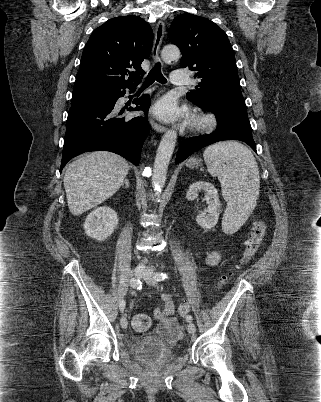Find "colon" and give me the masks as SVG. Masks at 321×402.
<instances>
[{"mask_svg":"<svg viewBox=\"0 0 321 402\" xmlns=\"http://www.w3.org/2000/svg\"><path fill=\"white\" fill-rule=\"evenodd\" d=\"M266 233V226L263 222H258L253 229V232L246 243V248L243 252L239 266L248 264L257 255L262 241ZM228 280L227 277L222 279L221 283L224 284ZM190 311V304L187 301L180 303L178 307V315L185 317ZM132 326L136 331H146L150 327V319L145 314H136L132 319Z\"/></svg>","mask_w":321,"mask_h":402,"instance_id":"1","label":"colon"}]
</instances>
